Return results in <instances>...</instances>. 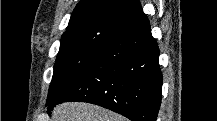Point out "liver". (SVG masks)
Wrapping results in <instances>:
<instances>
[{
	"label": "liver",
	"instance_id": "liver-1",
	"mask_svg": "<svg viewBox=\"0 0 217 121\" xmlns=\"http://www.w3.org/2000/svg\"><path fill=\"white\" fill-rule=\"evenodd\" d=\"M51 121H127L97 105L68 102L57 105L52 111Z\"/></svg>",
	"mask_w": 217,
	"mask_h": 121
}]
</instances>
